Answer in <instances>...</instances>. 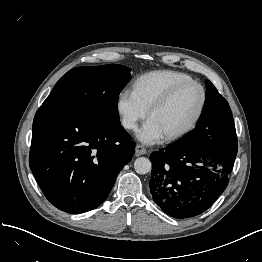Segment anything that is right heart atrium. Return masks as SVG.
Segmentation results:
<instances>
[{
    "label": "right heart atrium",
    "mask_w": 262,
    "mask_h": 262,
    "mask_svg": "<svg viewBox=\"0 0 262 262\" xmlns=\"http://www.w3.org/2000/svg\"><path fill=\"white\" fill-rule=\"evenodd\" d=\"M116 106L122 126L130 131L136 130L139 122L147 116V110L130 90L119 93Z\"/></svg>",
    "instance_id": "1"
}]
</instances>
